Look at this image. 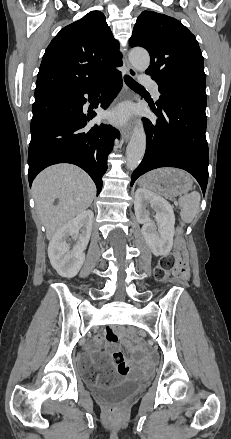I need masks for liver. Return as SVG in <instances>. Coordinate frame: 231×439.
I'll list each match as a JSON object with an SVG mask.
<instances>
[{"mask_svg":"<svg viewBox=\"0 0 231 439\" xmlns=\"http://www.w3.org/2000/svg\"><path fill=\"white\" fill-rule=\"evenodd\" d=\"M32 190L37 213L50 240L91 205L96 188L89 175L79 167L58 164L43 170L35 178ZM55 199L59 200L57 205H54Z\"/></svg>","mask_w":231,"mask_h":439,"instance_id":"liver-1","label":"liver"}]
</instances>
